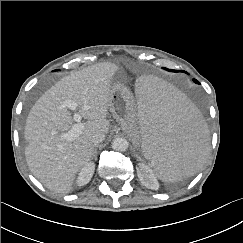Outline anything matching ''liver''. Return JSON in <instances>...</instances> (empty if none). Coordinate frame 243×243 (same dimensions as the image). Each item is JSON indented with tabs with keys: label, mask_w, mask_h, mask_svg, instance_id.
Wrapping results in <instances>:
<instances>
[{
	"label": "liver",
	"mask_w": 243,
	"mask_h": 243,
	"mask_svg": "<svg viewBox=\"0 0 243 243\" xmlns=\"http://www.w3.org/2000/svg\"><path fill=\"white\" fill-rule=\"evenodd\" d=\"M119 68L105 62L72 72L46 91L30 110L25 125V156L32 174L48 189L66 194L76 174L92 159L95 134H106L112 80ZM65 100L78 104L87 119L74 140L62 138L73 126Z\"/></svg>",
	"instance_id": "6515ba94"
}]
</instances>
